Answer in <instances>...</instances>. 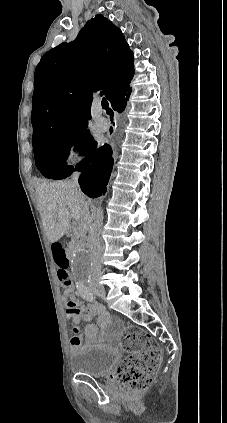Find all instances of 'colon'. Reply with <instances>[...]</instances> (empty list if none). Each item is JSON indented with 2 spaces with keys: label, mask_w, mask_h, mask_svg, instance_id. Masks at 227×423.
Segmentation results:
<instances>
[{
  "label": "colon",
  "mask_w": 227,
  "mask_h": 423,
  "mask_svg": "<svg viewBox=\"0 0 227 423\" xmlns=\"http://www.w3.org/2000/svg\"><path fill=\"white\" fill-rule=\"evenodd\" d=\"M52 250L58 266V277L67 288L71 286V280L65 251L60 243H54ZM122 348L128 356L118 368L116 379L123 387L135 392L148 389L161 362L157 342L144 330L130 326L124 331Z\"/></svg>",
  "instance_id": "1"
}]
</instances>
